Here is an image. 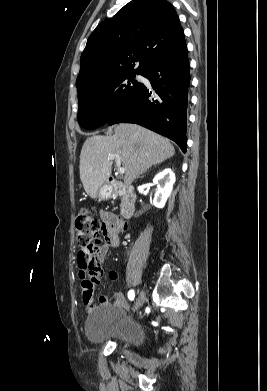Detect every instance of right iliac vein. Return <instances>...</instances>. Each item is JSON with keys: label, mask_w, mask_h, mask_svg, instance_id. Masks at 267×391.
Wrapping results in <instances>:
<instances>
[{"label": "right iliac vein", "mask_w": 267, "mask_h": 391, "mask_svg": "<svg viewBox=\"0 0 267 391\" xmlns=\"http://www.w3.org/2000/svg\"><path fill=\"white\" fill-rule=\"evenodd\" d=\"M145 299H146V293H145V291L142 290L140 292L139 297L137 298V300L135 302L133 312H136L143 305Z\"/></svg>", "instance_id": "63e3f726"}]
</instances>
